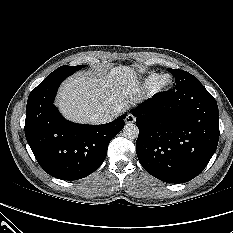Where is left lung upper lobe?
Returning a JSON list of instances; mask_svg holds the SVG:
<instances>
[{
    "instance_id": "5c2ea615",
    "label": "left lung upper lobe",
    "mask_w": 233,
    "mask_h": 233,
    "mask_svg": "<svg viewBox=\"0 0 233 233\" xmlns=\"http://www.w3.org/2000/svg\"><path fill=\"white\" fill-rule=\"evenodd\" d=\"M168 71L175 76L176 90H181L189 86L202 85L195 76L186 71L171 68H168Z\"/></svg>"
}]
</instances>
